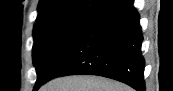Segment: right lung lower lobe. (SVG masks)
<instances>
[{
    "label": "right lung lower lobe",
    "mask_w": 173,
    "mask_h": 91,
    "mask_svg": "<svg viewBox=\"0 0 173 91\" xmlns=\"http://www.w3.org/2000/svg\"><path fill=\"white\" fill-rule=\"evenodd\" d=\"M139 20L133 0H117L99 10L79 29L34 91L52 78L73 74L104 76L144 90Z\"/></svg>",
    "instance_id": "obj_1"
}]
</instances>
